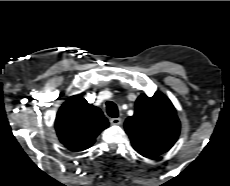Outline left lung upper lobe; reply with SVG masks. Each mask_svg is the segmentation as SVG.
I'll return each instance as SVG.
<instances>
[{
  "label": "left lung upper lobe",
  "mask_w": 230,
  "mask_h": 186,
  "mask_svg": "<svg viewBox=\"0 0 230 186\" xmlns=\"http://www.w3.org/2000/svg\"><path fill=\"white\" fill-rule=\"evenodd\" d=\"M124 126L134 149L151 159L167 152L180 132L176 110L161 92L152 97L140 95L135 103L134 115L126 119Z\"/></svg>",
  "instance_id": "obj_1"
}]
</instances>
